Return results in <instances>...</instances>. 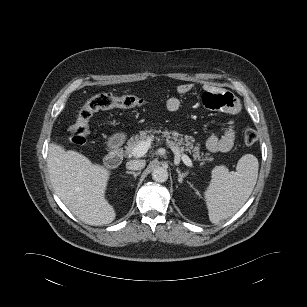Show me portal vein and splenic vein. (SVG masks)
<instances>
[{
	"mask_svg": "<svg viewBox=\"0 0 307 307\" xmlns=\"http://www.w3.org/2000/svg\"><path fill=\"white\" fill-rule=\"evenodd\" d=\"M151 139H147L145 141L140 142L134 149L132 152V155L139 158L144 156L147 151L149 150V148L151 147ZM175 152V163H178L180 161V159L183 161V163L188 166V167H193V163L191 161V159L185 155V154H180L178 151L172 149Z\"/></svg>",
	"mask_w": 307,
	"mask_h": 307,
	"instance_id": "portal-vein-and-splenic-vein-1",
	"label": "portal vein and splenic vein"
}]
</instances>
